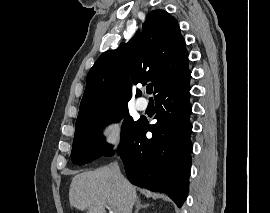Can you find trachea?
<instances>
[{
  "instance_id": "obj_1",
  "label": "trachea",
  "mask_w": 270,
  "mask_h": 213,
  "mask_svg": "<svg viewBox=\"0 0 270 213\" xmlns=\"http://www.w3.org/2000/svg\"><path fill=\"white\" fill-rule=\"evenodd\" d=\"M152 91H153V87H152V86H148V87H147V93H148V94H151Z\"/></svg>"
}]
</instances>
